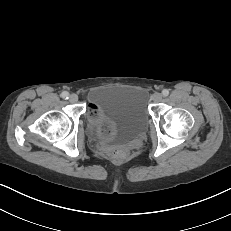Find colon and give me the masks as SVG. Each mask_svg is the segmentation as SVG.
<instances>
[{
  "instance_id": "colon-1",
  "label": "colon",
  "mask_w": 231,
  "mask_h": 231,
  "mask_svg": "<svg viewBox=\"0 0 231 231\" xmlns=\"http://www.w3.org/2000/svg\"><path fill=\"white\" fill-rule=\"evenodd\" d=\"M108 152L110 156L116 160H122L126 157V149L121 146H111L109 147Z\"/></svg>"
}]
</instances>
